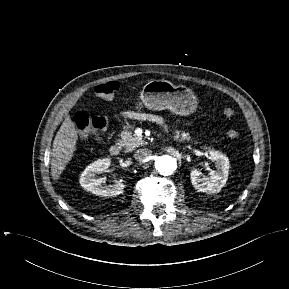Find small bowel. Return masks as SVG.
I'll return each instance as SVG.
<instances>
[{
  "label": "small bowel",
  "mask_w": 289,
  "mask_h": 289,
  "mask_svg": "<svg viewBox=\"0 0 289 289\" xmlns=\"http://www.w3.org/2000/svg\"><path fill=\"white\" fill-rule=\"evenodd\" d=\"M124 115L126 117H129V118H140V117H142V115H140L139 113L133 112V111H126V112H124ZM148 119L153 121V122H155V123H158V124H162L163 123L162 118L159 117V116H156V115H149Z\"/></svg>",
  "instance_id": "c3829d8e"
}]
</instances>
